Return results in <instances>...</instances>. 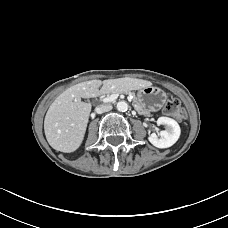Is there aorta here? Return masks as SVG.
<instances>
[{
	"mask_svg": "<svg viewBox=\"0 0 228 228\" xmlns=\"http://www.w3.org/2000/svg\"><path fill=\"white\" fill-rule=\"evenodd\" d=\"M116 107L118 111L125 112L128 109V104L125 101H119Z\"/></svg>",
	"mask_w": 228,
	"mask_h": 228,
	"instance_id": "obj_1",
	"label": "aorta"
}]
</instances>
